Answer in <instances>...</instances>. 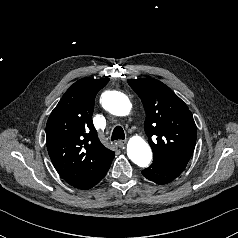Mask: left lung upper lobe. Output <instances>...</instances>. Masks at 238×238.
<instances>
[{
  "instance_id": "1",
  "label": "left lung upper lobe",
  "mask_w": 238,
  "mask_h": 238,
  "mask_svg": "<svg viewBox=\"0 0 238 238\" xmlns=\"http://www.w3.org/2000/svg\"><path fill=\"white\" fill-rule=\"evenodd\" d=\"M127 82L143 103L146 112L144 130L154 160L186 167L197 136L196 125L187 105L156 79H129ZM152 136L156 141H152Z\"/></svg>"
}]
</instances>
